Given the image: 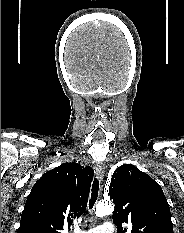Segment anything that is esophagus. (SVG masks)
<instances>
[{"instance_id":"esophagus-1","label":"esophagus","mask_w":184,"mask_h":233,"mask_svg":"<svg viewBox=\"0 0 184 233\" xmlns=\"http://www.w3.org/2000/svg\"><path fill=\"white\" fill-rule=\"evenodd\" d=\"M104 169H105V166H104V164L102 162L97 163V165H96V174L100 178V180L103 179Z\"/></svg>"}]
</instances>
